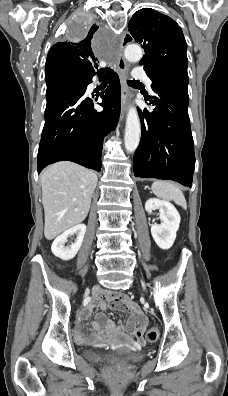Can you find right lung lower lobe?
<instances>
[{"mask_svg": "<svg viewBox=\"0 0 228 396\" xmlns=\"http://www.w3.org/2000/svg\"><path fill=\"white\" fill-rule=\"evenodd\" d=\"M98 75L109 82L100 95L102 103L85 94L94 76L88 74L80 75L74 84L47 101L37 155L38 174L47 165L62 160L100 172L103 138L115 129L119 119L121 88L113 70ZM96 103L103 111L93 108Z\"/></svg>", "mask_w": 228, "mask_h": 396, "instance_id": "1", "label": "right lung lower lobe"}]
</instances>
